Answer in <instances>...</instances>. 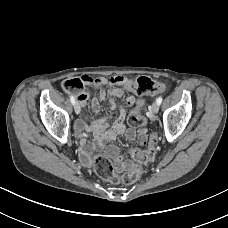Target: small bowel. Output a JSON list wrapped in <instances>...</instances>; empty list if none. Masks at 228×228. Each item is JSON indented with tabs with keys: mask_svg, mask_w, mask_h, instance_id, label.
<instances>
[{
	"mask_svg": "<svg viewBox=\"0 0 228 228\" xmlns=\"http://www.w3.org/2000/svg\"><path fill=\"white\" fill-rule=\"evenodd\" d=\"M124 80L127 78L120 77ZM84 82L87 85H93L94 82H100V84H105L109 86L108 91L101 90L98 95L94 96L92 99V108L95 112L100 110V101H108L109 108L114 110L117 107V100L124 95L123 89L119 86L108 84L107 79H93L91 77H83ZM129 92L126 104L119 105V116L111 124H108V117L100 118L94 121L92 124L88 125L84 116L81 115L75 122L76 135L80 138L83 136V130H88L94 134L95 141L93 144H89L85 139H81L80 145L85 154H87L93 148H104L105 152L114 159L115 166L117 169L121 170L125 167L123 161V156L119 149L114 145H106L108 141L116 139L119 135L125 134L128 140L138 139L140 144H144L146 141L147 130L145 128H140L138 130L134 128H127L125 124V117L127 113V107L134 106V110H139V108L144 105V101H136L134 96V90L130 87H126ZM89 97L88 92H83L77 95V99L81 107H85Z\"/></svg>",
	"mask_w": 228,
	"mask_h": 228,
	"instance_id": "small-bowel-1",
	"label": "small bowel"
}]
</instances>
